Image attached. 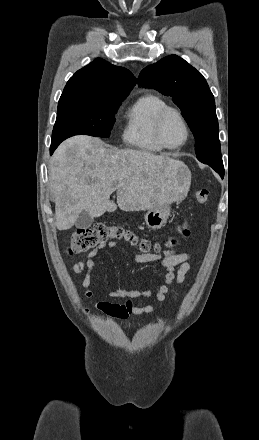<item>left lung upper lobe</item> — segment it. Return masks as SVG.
Instances as JSON below:
<instances>
[{
	"instance_id": "left-lung-upper-lobe-1",
	"label": "left lung upper lobe",
	"mask_w": 259,
	"mask_h": 440,
	"mask_svg": "<svg viewBox=\"0 0 259 440\" xmlns=\"http://www.w3.org/2000/svg\"><path fill=\"white\" fill-rule=\"evenodd\" d=\"M138 84L172 97L195 137L198 160L218 173L224 169L214 96L201 73L182 58L170 55L144 68Z\"/></svg>"
}]
</instances>
